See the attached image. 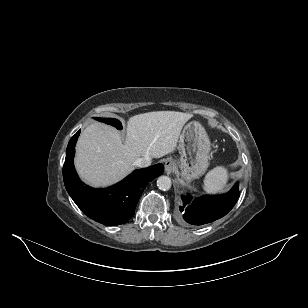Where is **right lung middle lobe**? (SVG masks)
Here are the masks:
<instances>
[{
	"label": "right lung middle lobe",
	"instance_id": "obj_1",
	"mask_svg": "<svg viewBox=\"0 0 308 308\" xmlns=\"http://www.w3.org/2000/svg\"><path fill=\"white\" fill-rule=\"evenodd\" d=\"M98 121L100 122H104L106 124H110L114 127H116L118 130L122 129V125L120 123V121H118L117 119L114 118H97Z\"/></svg>",
	"mask_w": 308,
	"mask_h": 308
}]
</instances>
